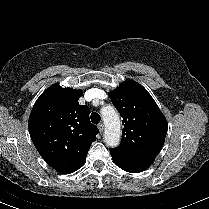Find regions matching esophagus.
<instances>
[{"mask_svg": "<svg viewBox=\"0 0 209 209\" xmlns=\"http://www.w3.org/2000/svg\"><path fill=\"white\" fill-rule=\"evenodd\" d=\"M98 129H99L100 133H103V131H104V125L102 123H100L98 125Z\"/></svg>", "mask_w": 209, "mask_h": 209, "instance_id": "esophagus-1", "label": "esophagus"}]
</instances>
